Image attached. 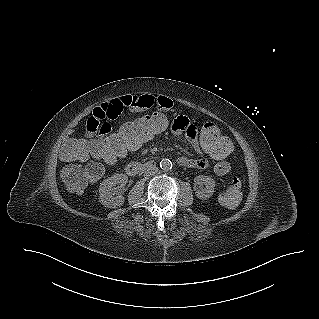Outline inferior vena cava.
Masks as SVG:
<instances>
[{"mask_svg": "<svg viewBox=\"0 0 319 319\" xmlns=\"http://www.w3.org/2000/svg\"><path fill=\"white\" fill-rule=\"evenodd\" d=\"M158 172V168L157 167H150L145 171L144 176L146 177H150L155 175Z\"/></svg>", "mask_w": 319, "mask_h": 319, "instance_id": "obj_1", "label": "inferior vena cava"}]
</instances>
